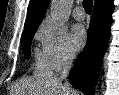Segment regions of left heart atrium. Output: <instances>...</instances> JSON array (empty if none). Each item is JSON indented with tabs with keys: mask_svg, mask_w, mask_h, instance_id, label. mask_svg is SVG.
Instances as JSON below:
<instances>
[{
	"mask_svg": "<svg viewBox=\"0 0 119 95\" xmlns=\"http://www.w3.org/2000/svg\"><path fill=\"white\" fill-rule=\"evenodd\" d=\"M87 41V32L83 25L76 24L71 29L70 43L75 50H80L84 47Z\"/></svg>",
	"mask_w": 119,
	"mask_h": 95,
	"instance_id": "1",
	"label": "left heart atrium"
}]
</instances>
